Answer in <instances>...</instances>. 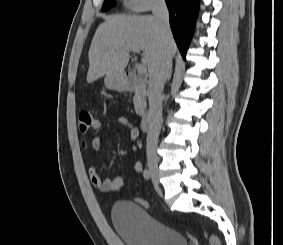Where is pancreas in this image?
Here are the masks:
<instances>
[{
	"label": "pancreas",
	"mask_w": 283,
	"mask_h": 245,
	"mask_svg": "<svg viewBox=\"0 0 283 245\" xmlns=\"http://www.w3.org/2000/svg\"><path fill=\"white\" fill-rule=\"evenodd\" d=\"M134 108L137 114L141 115L144 111L145 98L141 93H136L133 99Z\"/></svg>",
	"instance_id": "1"
}]
</instances>
